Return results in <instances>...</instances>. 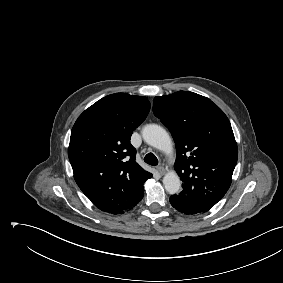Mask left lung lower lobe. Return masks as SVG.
<instances>
[{"label": "left lung lower lobe", "mask_w": 283, "mask_h": 283, "mask_svg": "<svg viewBox=\"0 0 283 283\" xmlns=\"http://www.w3.org/2000/svg\"><path fill=\"white\" fill-rule=\"evenodd\" d=\"M171 205L181 213L186 215L198 214L206 212L205 209L198 206L196 203L187 199L183 195H172L170 197Z\"/></svg>", "instance_id": "0a47b994"}]
</instances>
